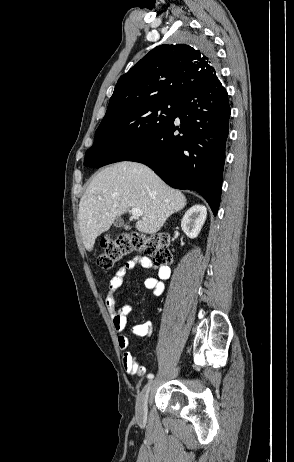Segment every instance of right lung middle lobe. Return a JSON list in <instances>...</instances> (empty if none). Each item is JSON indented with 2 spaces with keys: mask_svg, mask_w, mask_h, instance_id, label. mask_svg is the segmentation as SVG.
<instances>
[{
  "mask_svg": "<svg viewBox=\"0 0 294 462\" xmlns=\"http://www.w3.org/2000/svg\"><path fill=\"white\" fill-rule=\"evenodd\" d=\"M177 39L200 50L214 52L203 34L183 30L177 34ZM181 100L180 96H161L106 115L85 158L100 153L105 158V165L125 160L175 117Z\"/></svg>",
  "mask_w": 294,
  "mask_h": 462,
  "instance_id": "1",
  "label": "right lung middle lobe"
}]
</instances>
